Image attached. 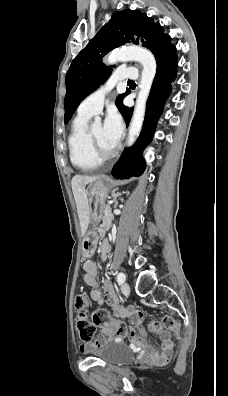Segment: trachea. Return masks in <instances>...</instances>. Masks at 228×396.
<instances>
[{"mask_svg":"<svg viewBox=\"0 0 228 396\" xmlns=\"http://www.w3.org/2000/svg\"><path fill=\"white\" fill-rule=\"evenodd\" d=\"M128 83H133V81L129 80Z\"/></svg>","mask_w":228,"mask_h":396,"instance_id":"1","label":"trachea"}]
</instances>
